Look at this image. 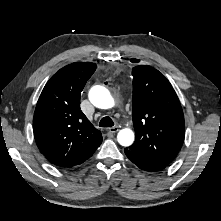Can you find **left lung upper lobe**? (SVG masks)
Segmentation results:
<instances>
[{"instance_id": "5c2ea615", "label": "left lung upper lobe", "mask_w": 221, "mask_h": 221, "mask_svg": "<svg viewBox=\"0 0 221 221\" xmlns=\"http://www.w3.org/2000/svg\"><path fill=\"white\" fill-rule=\"evenodd\" d=\"M132 76L136 139L128 149L168 165L184 140V115L179 99L166 77L150 66L134 67Z\"/></svg>"}]
</instances>
